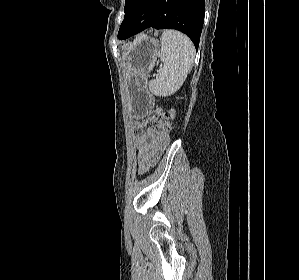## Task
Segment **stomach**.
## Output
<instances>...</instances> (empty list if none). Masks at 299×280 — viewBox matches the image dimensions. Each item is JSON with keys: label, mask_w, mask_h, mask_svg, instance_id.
I'll list each match as a JSON object with an SVG mask.
<instances>
[{"label": "stomach", "mask_w": 299, "mask_h": 280, "mask_svg": "<svg viewBox=\"0 0 299 280\" xmlns=\"http://www.w3.org/2000/svg\"><path fill=\"white\" fill-rule=\"evenodd\" d=\"M158 55V41L146 35L136 38L123 53L127 66V98L135 116L146 114L151 106L145 76L153 69Z\"/></svg>", "instance_id": "stomach-1"}]
</instances>
